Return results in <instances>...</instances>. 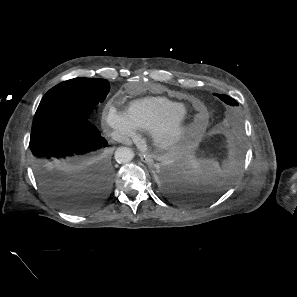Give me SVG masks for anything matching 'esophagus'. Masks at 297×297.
<instances>
[{"instance_id":"1","label":"esophagus","mask_w":297,"mask_h":297,"mask_svg":"<svg viewBox=\"0 0 297 297\" xmlns=\"http://www.w3.org/2000/svg\"><path fill=\"white\" fill-rule=\"evenodd\" d=\"M140 158L147 165H153V163H154V160H153L152 156L147 154V153L140 154Z\"/></svg>"}]
</instances>
